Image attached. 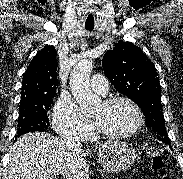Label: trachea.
Instances as JSON below:
<instances>
[{"label": "trachea", "mask_w": 183, "mask_h": 179, "mask_svg": "<svg viewBox=\"0 0 183 179\" xmlns=\"http://www.w3.org/2000/svg\"><path fill=\"white\" fill-rule=\"evenodd\" d=\"M85 28L89 31H92L94 29V17H93V15H89L87 17V20L85 22Z\"/></svg>", "instance_id": "1"}]
</instances>
